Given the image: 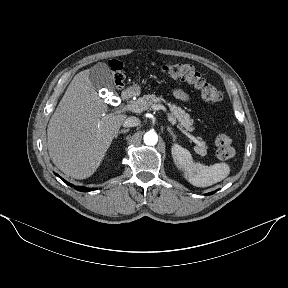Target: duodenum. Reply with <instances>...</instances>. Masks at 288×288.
Here are the masks:
<instances>
[{
  "label": "duodenum",
  "mask_w": 288,
  "mask_h": 288,
  "mask_svg": "<svg viewBox=\"0 0 288 288\" xmlns=\"http://www.w3.org/2000/svg\"><path fill=\"white\" fill-rule=\"evenodd\" d=\"M133 96H134V92L130 89H127V90L123 91V93H122V99L124 101L130 100Z\"/></svg>",
  "instance_id": "1"
}]
</instances>
